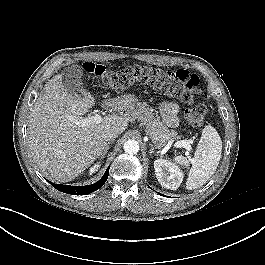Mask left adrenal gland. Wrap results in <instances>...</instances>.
Listing matches in <instances>:
<instances>
[{
  "label": "left adrenal gland",
  "instance_id": "a2214340",
  "mask_svg": "<svg viewBox=\"0 0 265 265\" xmlns=\"http://www.w3.org/2000/svg\"><path fill=\"white\" fill-rule=\"evenodd\" d=\"M150 145V154L152 155V154H158V152H155V150H154V147H153V145L152 144H149Z\"/></svg>",
  "mask_w": 265,
  "mask_h": 265
}]
</instances>
